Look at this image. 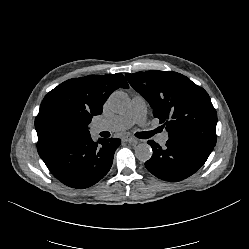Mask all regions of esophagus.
Instances as JSON below:
<instances>
[{"label": "esophagus", "mask_w": 249, "mask_h": 249, "mask_svg": "<svg viewBox=\"0 0 249 249\" xmlns=\"http://www.w3.org/2000/svg\"><path fill=\"white\" fill-rule=\"evenodd\" d=\"M121 139L124 142H132L135 140L132 136H123Z\"/></svg>", "instance_id": "1"}]
</instances>
